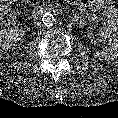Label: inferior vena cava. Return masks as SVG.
Segmentation results:
<instances>
[{
  "instance_id": "1",
  "label": "inferior vena cava",
  "mask_w": 118,
  "mask_h": 118,
  "mask_svg": "<svg viewBox=\"0 0 118 118\" xmlns=\"http://www.w3.org/2000/svg\"><path fill=\"white\" fill-rule=\"evenodd\" d=\"M36 24H37V25H40V24H41V22H37Z\"/></svg>"
}]
</instances>
